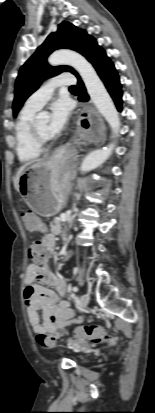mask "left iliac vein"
Returning a JSON list of instances; mask_svg holds the SVG:
<instances>
[{
	"label": "left iliac vein",
	"instance_id": "left-iliac-vein-1",
	"mask_svg": "<svg viewBox=\"0 0 155 413\" xmlns=\"http://www.w3.org/2000/svg\"><path fill=\"white\" fill-rule=\"evenodd\" d=\"M90 301V295L85 293L81 296L80 304L83 309L87 308Z\"/></svg>",
	"mask_w": 155,
	"mask_h": 413
}]
</instances>
